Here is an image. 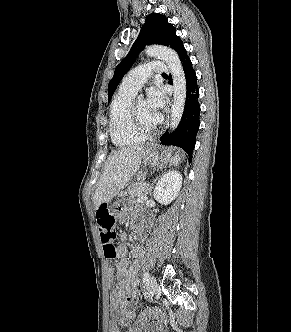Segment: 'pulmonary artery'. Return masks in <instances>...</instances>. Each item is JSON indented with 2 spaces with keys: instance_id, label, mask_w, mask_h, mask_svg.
<instances>
[{
  "instance_id": "1",
  "label": "pulmonary artery",
  "mask_w": 291,
  "mask_h": 332,
  "mask_svg": "<svg viewBox=\"0 0 291 332\" xmlns=\"http://www.w3.org/2000/svg\"><path fill=\"white\" fill-rule=\"evenodd\" d=\"M167 71L168 67L162 61L140 65L126 75L121 83V88L136 93L153 73L164 74Z\"/></svg>"
}]
</instances>
